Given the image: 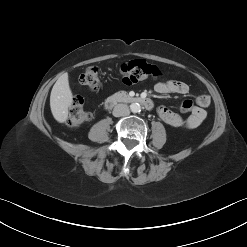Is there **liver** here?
Segmentation results:
<instances>
[{"instance_id":"1","label":"liver","mask_w":247,"mask_h":247,"mask_svg":"<svg viewBox=\"0 0 247 247\" xmlns=\"http://www.w3.org/2000/svg\"><path fill=\"white\" fill-rule=\"evenodd\" d=\"M73 103V95L69 86L68 73L61 75L54 84L50 95V108L53 117L59 123L68 118V109Z\"/></svg>"}]
</instances>
